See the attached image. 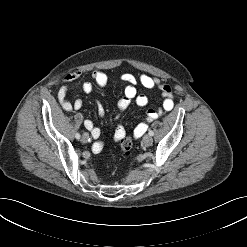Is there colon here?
<instances>
[{"label": "colon", "instance_id": "1", "mask_svg": "<svg viewBox=\"0 0 247 247\" xmlns=\"http://www.w3.org/2000/svg\"><path fill=\"white\" fill-rule=\"evenodd\" d=\"M116 138L118 141H120L121 154L122 155H128L132 149V146H133L132 137L130 135L121 136L120 134H117Z\"/></svg>", "mask_w": 247, "mask_h": 247}]
</instances>
